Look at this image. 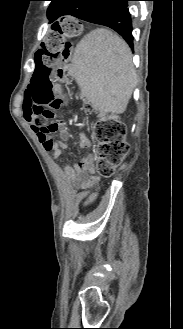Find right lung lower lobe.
<instances>
[{"instance_id": "right-lung-lower-lobe-1", "label": "right lung lower lobe", "mask_w": 183, "mask_h": 329, "mask_svg": "<svg viewBox=\"0 0 183 329\" xmlns=\"http://www.w3.org/2000/svg\"><path fill=\"white\" fill-rule=\"evenodd\" d=\"M128 1L130 0H58L49 10L54 12V19L62 15H72L88 22L108 26L118 32L133 48Z\"/></svg>"}]
</instances>
